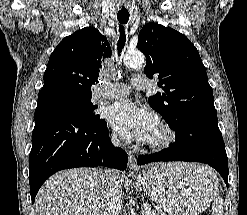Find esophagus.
Returning a JSON list of instances; mask_svg holds the SVG:
<instances>
[{
  "mask_svg": "<svg viewBox=\"0 0 247 215\" xmlns=\"http://www.w3.org/2000/svg\"><path fill=\"white\" fill-rule=\"evenodd\" d=\"M128 169L131 173H138L140 171V167L137 165L136 158L133 154L129 153L128 156Z\"/></svg>",
  "mask_w": 247,
  "mask_h": 215,
  "instance_id": "obj_1",
  "label": "esophagus"
}]
</instances>
